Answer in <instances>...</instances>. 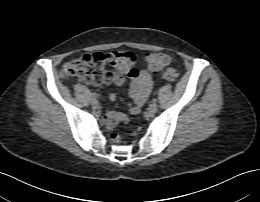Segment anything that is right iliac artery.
<instances>
[{"instance_id":"right-iliac-artery-1","label":"right iliac artery","mask_w":260,"mask_h":202,"mask_svg":"<svg viewBox=\"0 0 260 202\" xmlns=\"http://www.w3.org/2000/svg\"><path fill=\"white\" fill-rule=\"evenodd\" d=\"M91 96H92L93 98H96V97H97V94H96V93H92Z\"/></svg>"}]
</instances>
